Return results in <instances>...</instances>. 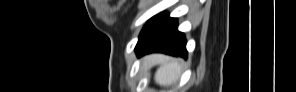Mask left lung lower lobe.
<instances>
[{
  "label": "left lung lower lobe",
  "instance_id": "left-lung-lower-lobe-1",
  "mask_svg": "<svg viewBox=\"0 0 296 92\" xmlns=\"http://www.w3.org/2000/svg\"><path fill=\"white\" fill-rule=\"evenodd\" d=\"M135 51L139 57L151 52L186 57V40L177 30V19L161 14L145 38L136 45Z\"/></svg>",
  "mask_w": 296,
  "mask_h": 92
}]
</instances>
